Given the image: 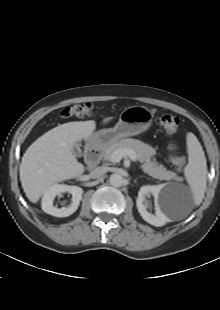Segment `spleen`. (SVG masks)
I'll return each mask as SVG.
<instances>
[{"label": "spleen", "instance_id": "spleen-1", "mask_svg": "<svg viewBox=\"0 0 220 310\" xmlns=\"http://www.w3.org/2000/svg\"><path fill=\"white\" fill-rule=\"evenodd\" d=\"M187 148L189 161L184 168V175L191 188L194 205L198 206L206 190L208 173L206 158L200 142L193 133L187 134Z\"/></svg>", "mask_w": 220, "mask_h": 310}]
</instances>
